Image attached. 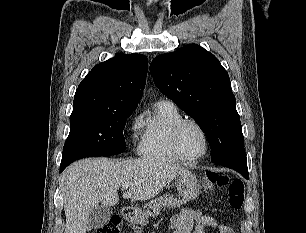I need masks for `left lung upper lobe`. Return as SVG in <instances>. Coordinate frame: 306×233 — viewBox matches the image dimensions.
Returning a JSON list of instances; mask_svg holds the SVG:
<instances>
[{
    "label": "left lung upper lobe",
    "mask_w": 306,
    "mask_h": 233,
    "mask_svg": "<svg viewBox=\"0 0 306 233\" xmlns=\"http://www.w3.org/2000/svg\"><path fill=\"white\" fill-rule=\"evenodd\" d=\"M150 72L158 89L194 118L206 134L212 162L247 161L230 79L213 54L189 44L157 56Z\"/></svg>",
    "instance_id": "5c2ea615"
}]
</instances>
